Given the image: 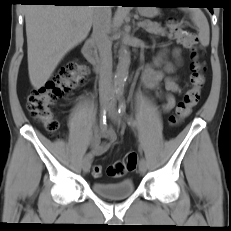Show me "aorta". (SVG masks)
I'll return each instance as SVG.
<instances>
[{
    "mask_svg": "<svg viewBox=\"0 0 231 231\" xmlns=\"http://www.w3.org/2000/svg\"><path fill=\"white\" fill-rule=\"evenodd\" d=\"M129 65H130V52L127 45L123 44L120 48L119 62L114 77V89L116 91L123 90L124 84L128 78Z\"/></svg>",
    "mask_w": 231,
    "mask_h": 231,
    "instance_id": "1",
    "label": "aorta"
}]
</instances>
